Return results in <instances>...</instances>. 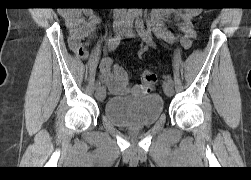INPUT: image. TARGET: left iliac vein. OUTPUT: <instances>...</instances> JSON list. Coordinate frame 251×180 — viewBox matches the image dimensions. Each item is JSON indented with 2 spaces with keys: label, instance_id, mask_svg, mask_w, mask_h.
<instances>
[{
  "label": "left iliac vein",
  "instance_id": "1",
  "mask_svg": "<svg viewBox=\"0 0 251 180\" xmlns=\"http://www.w3.org/2000/svg\"><path fill=\"white\" fill-rule=\"evenodd\" d=\"M123 34L127 38H134L135 37V33H134V31L131 28H125L123 30ZM163 89H164V93L168 97H171L174 94L173 85L171 83H169L168 81L164 82Z\"/></svg>",
  "mask_w": 251,
  "mask_h": 180
}]
</instances>
